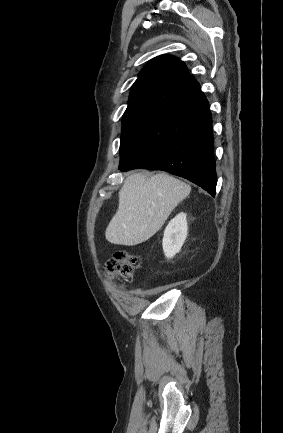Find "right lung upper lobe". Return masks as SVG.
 Listing matches in <instances>:
<instances>
[{"mask_svg":"<svg viewBox=\"0 0 283 433\" xmlns=\"http://www.w3.org/2000/svg\"><path fill=\"white\" fill-rule=\"evenodd\" d=\"M201 93L183 62L170 55L149 61L131 88L127 109L163 113Z\"/></svg>","mask_w":283,"mask_h":433,"instance_id":"right-lung-upper-lobe-1","label":"right lung upper lobe"}]
</instances>
